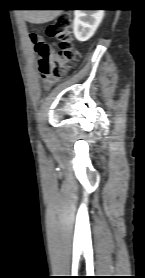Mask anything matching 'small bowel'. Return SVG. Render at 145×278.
<instances>
[{"label":"small bowel","mask_w":145,"mask_h":278,"mask_svg":"<svg viewBox=\"0 0 145 278\" xmlns=\"http://www.w3.org/2000/svg\"><path fill=\"white\" fill-rule=\"evenodd\" d=\"M55 82H56V80H54L50 77H44V85L46 88L50 87Z\"/></svg>","instance_id":"c3829d8e"}]
</instances>
